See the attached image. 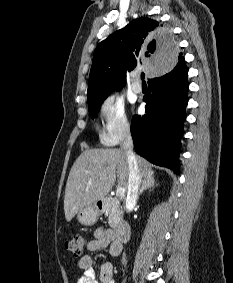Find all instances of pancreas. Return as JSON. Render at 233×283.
Wrapping results in <instances>:
<instances>
[{
	"mask_svg": "<svg viewBox=\"0 0 233 283\" xmlns=\"http://www.w3.org/2000/svg\"><path fill=\"white\" fill-rule=\"evenodd\" d=\"M122 218V209L116 198L111 201V206L108 209V223L111 228H116L118 222Z\"/></svg>",
	"mask_w": 233,
	"mask_h": 283,
	"instance_id": "obj_1",
	"label": "pancreas"
}]
</instances>
